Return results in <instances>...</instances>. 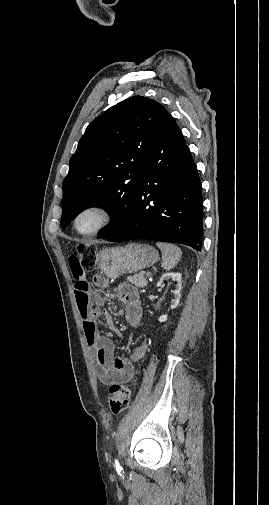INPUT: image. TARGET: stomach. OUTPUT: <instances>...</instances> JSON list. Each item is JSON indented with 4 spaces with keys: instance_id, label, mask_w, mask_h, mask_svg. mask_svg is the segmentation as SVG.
Listing matches in <instances>:
<instances>
[{
    "instance_id": "obj_1",
    "label": "stomach",
    "mask_w": 269,
    "mask_h": 505,
    "mask_svg": "<svg viewBox=\"0 0 269 505\" xmlns=\"http://www.w3.org/2000/svg\"><path fill=\"white\" fill-rule=\"evenodd\" d=\"M98 267L107 278L135 273L159 260L158 251L151 245L129 243L124 247L106 248L98 255Z\"/></svg>"
}]
</instances>
